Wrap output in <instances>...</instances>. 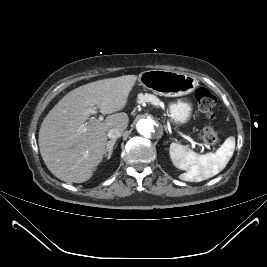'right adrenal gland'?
<instances>
[{
  "label": "right adrenal gland",
  "instance_id": "2a0ac1e0",
  "mask_svg": "<svg viewBox=\"0 0 267 267\" xmlns=\"http://www.w3.org/2000/svg\"><path fill=\"white\" fill-rule=\"evenodd\" d=\"M117 139H112L110 141H108L107 143V147H106V151H105V156L107 157V159L109 160L112 152H113V146L115 145Z\"/></svg>",
  "mask_w": 267,
  "mask_h": 267
}]
</instances>
